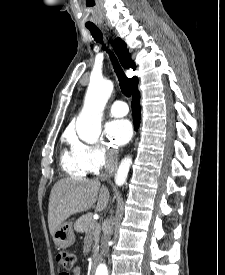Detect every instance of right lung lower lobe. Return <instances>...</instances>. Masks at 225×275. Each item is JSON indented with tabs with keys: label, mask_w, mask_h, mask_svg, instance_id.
Masks as SVG:
<instances>
[{
	"label": "right lung lower lobe",
	"mask_w": 225,
	"mask_h": 275,
	"mask_svg": "<svg viewBox=\"0 0 225 275\" xmlns=\"http://www.w3.org/2000/svg\"><path fill=\"white\" fill-rule=\"evenodd\" d=\"M140 94L138 88L133 89V99H132V113H133V122L135 130L138 129L140 123Z\"/></svg>",
	"instance_id": "right-lung-lower-lobe-1"
}]
</instances>
